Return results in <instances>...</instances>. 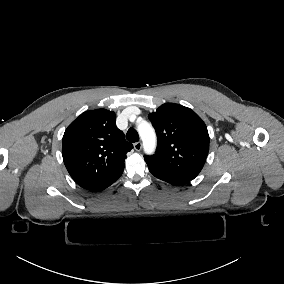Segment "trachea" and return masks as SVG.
<instances>
[{
  "instance_id": "trachea-1",
  "label": "trachea",
  "mask_w": 284,
  "mask_h": 284,
  "mask_svg": "<svg viewBox=\"0 0 284 284\" xmlns=\"http://www.w3.org/2000/svg\"><path fill=\"white\" fill-rule=\"evenodd\" d=\"M126 139L130 142L139 141V135L134 128H130L126 133Z\"/></svg>"
}]
</instances>
